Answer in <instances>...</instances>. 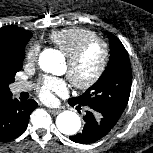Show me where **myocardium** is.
<instances>
[{
    "mask_svg": "<svg viewBox=\"0 0 153 153\" xmlns=\"http://www.w3.org/2000/svg\"><path fill=\"white\" fill-rule=\"evenodd\" d=\"M95 44H99L102 47L103 54L101 62L95 71V73L86 81H78L73 75V68L79 62L84 53ZM110 59V46L109 43L100 37L90 38L81 43L71 54L67 56V63L69 65V71L67 76L72 85L78 90H88L92 88L105 73Z\"/></svg>",
    "mask_w": 153,
    "mask_h": 153,
    "instance_id": "1",
    "label": "myocardium"
}]
</instances>
